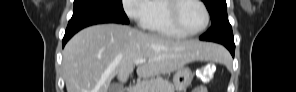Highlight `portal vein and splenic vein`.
Instances as JSON below:
<instances>
[{"mask_svg":"<svg viewBox=\"0 0 296 92\" xmlns=\"http://www.w3.org/2000/svg\"><path fill=\"white\" fill-rule=\"evenodd\" d=\"M145 62H146L145 59H137V60L134 61V64H135V65H138V64L145 63Z\"/></svg>","mask_w":296,"mask_h":92,"instance_id":"1","label":"portal vein and splenic vein"}]
</instances>
